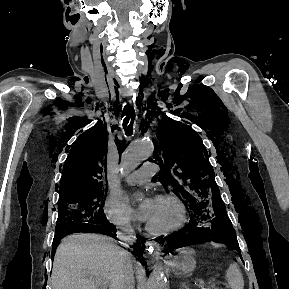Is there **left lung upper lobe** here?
<instances>
[{
    "mask_svg": "<svg viewBox=\"0 0 289 289\" xmlns=\"http://www.w3.org/2000/svg\"><path fill=\"white\" fill-rule=\"evenodd\" d=\"M162 115L153 154L165 170L162 184L187 204L190 217L206 214L208 220L216 218L220 241L229 243L227 225L231 222L226 224L227 219L215 213L216 207L224 204L200 136L191 127Z\"/></svg>",
    "mask_w": 289,
    "mask_h": 289,
    "instance_id": "left-lung-upper-lobe-1",
    "label": "left lung upper lobe"
}]
</instances>
